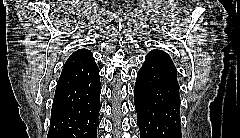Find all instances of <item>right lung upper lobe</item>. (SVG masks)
Returning <instances> with one entry per match:
<instances>
[{
    "mask_svg": "<svg viewBox=\"0 0 240 138\" xmlns=\"http://www.w3.org/2000/svg\"><path fill=\"white\" fill-rule=\"evenodd\" d=\"M98 73L99 69L91 51L79 49L67 59L56 90L85 82Z\"/></svg>",
    "mask_w": 240,
    "mask_h": 138,
    "instance_id": "obj_1",
    "label": "right lung upper lobe"
}]
</instances>
